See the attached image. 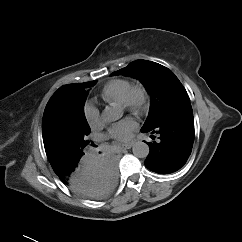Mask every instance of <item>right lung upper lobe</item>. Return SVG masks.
<instances>
[{"instance_id":"right-lung-upper-lobe-1","label":"right lung upper lobe","mask_w":242,"mask_h":242,"mask_svg":"<svg viewBox=\"0 0 242 242\" xmlns=\"http://www.w3.org/2000/svg\"><path fill=\"white\" fill-rule=\"evenodd\" d=\"M86 83L69 84L59 88L50 98L44 113L58 105L73 103L83 91Z\"/></svg>"}]
</instances>
